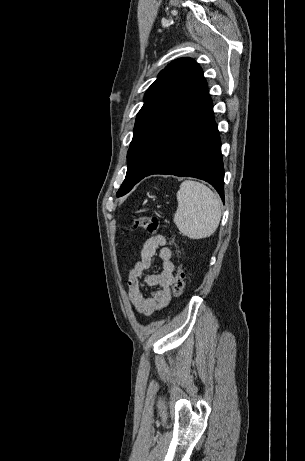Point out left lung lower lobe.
Wrapping results in <instances>:
<instances>
[{
    "label": "left lung lower lobe",
    "mask_w": 305,
    "mask_h": 461,
    "mask_svg": "<svg viewBox=\"0 0 305 461\" xmlns=\"http://www.w3.org/2000/svg\"><path fill=\"white\" fill-rule=\"evenodd\" d=\"M152 174L209 181L224 200L221 142L204 78L156 133L149 168L136 183Z\"/></svg>",
    "instance_id": "1"
}]
</instances>
